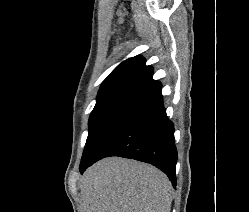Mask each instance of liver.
<instances>
[{
	"mask_svg": "<svg viewBox=\"0 0 249 212\" xmlns=\"http://www.w3.org/2000/svg\"><path fill=\"white\" fill-rule=\"evenodd\" d=\"M82 212H170L172 186L149 164L104 158L80 178Z\"/></svg>",
	"mask_w": 249,
	"mask_h": 212,
	"instance_id": "obj_1",
	"label": "liver"
}]
</instances>
